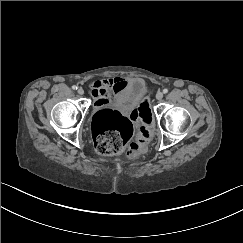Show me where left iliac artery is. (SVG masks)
I'll use <instances>...</instances> for the list:
<instances>
[{"mask_svg":"<svg viewBox=\"0 0 243 243\" xmlns=\"http://www.w3.org/2000/svg\"><path fill=\"white\" fill-rule=\"evenodd\" d=\"M168 92V89H164L163 93L166 94Z\"/></svg>","mask_w":243,"mask_h":243,"instance_id":"1","label":"left iliac artery"}]
</instances>
